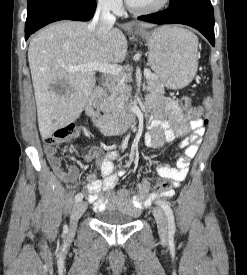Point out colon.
Instances as JSON below:
<instances>
[{
  "mask_svg": "<svg viewBox=\"0 0 247 275\" xmlns=\"http://www.w3.org/2000/svg\"><path fill=\"white\" fill-rule=\"evenodd\" d=\"M182 104L186 110V113L191 118H197L203 112V107L201 106H192L191 99L185 97L182 101ZM212 101L210 98H206L204 101V108L209 111ZM208 116V114H207ZM79 135V128L75 124H69L62 128L57 129L53 134L45 137L44 142L46 145L55 146L58 144L66 143ZM172 183L170 181L162 182L155 187L157 193H163L170 190Z\"/></svg>",
  "mask_w": 247,
  "mask_h": 275,
  "instance_id": "obj_1",
  "label": "colon"
}]
</instances>
